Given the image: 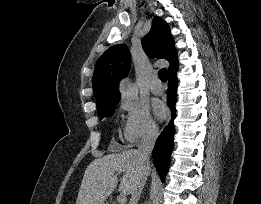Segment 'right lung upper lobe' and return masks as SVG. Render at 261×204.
I'll list each match as a JSON object with an SVG mask.
<instances>
[{"mask_svg": "<svg viewBox=\"0 0 261 204\" xmlns=\"http://www.w3.org/2000/svg\"><path fill=\"white\" fill-rule=\"evenodd\" d=\"M142 47L148 56L168 60V72L178 67L174 39L168 24L160 17L153 19L150 32L142 39ZM130 64L129 49L123 44L110 47L99 58L92 79L97 106L120 99L119 82L128 74Z\"/></svg>", "mask_w": 261, "mask_h": 204, "instance_id": "1", "label": "right lung upper lobe"}]
</instances>
